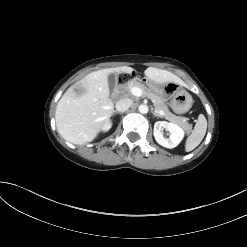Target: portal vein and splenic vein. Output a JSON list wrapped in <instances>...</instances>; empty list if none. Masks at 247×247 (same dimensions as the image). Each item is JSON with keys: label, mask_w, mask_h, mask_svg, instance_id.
I'll return each mask as SVG.
<instances>
[{"label": "portal vein and splenic vein", "mask_w": 247, "mask_h": 247, "mask_svg": "<svg viewBox=\"0 0 247 247\" xmlns=\"http://www.w3.org/2000/svg\"><path fill=\"white\" fill-rule=\"evenodd\" d=\"M132 95L140 97L143 94V91L139 87H133L130 89ZM160 115H164L163 111H159Z\"/></svg>", "instance_id": "1"}]
</instances>
